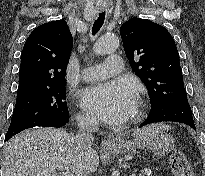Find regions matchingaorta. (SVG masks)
Segmentation results:
<instances>
[{
	"label": "aorta",
	"mask_w": 205,
	"mask_h": 176,
	"mask_svg": "<svg viewBox=\"0 0 205 176\" xmlns=\"http://www.w3.org/2000/svg\"><path fill=\"white\" fill-rule=\"evenodd\" d=\"M119 45V39L114 35L101 37L93 47L94 53L98 55L114 52Z\"/></svg>",
	"instance_id": "1"
}]
</instances>
